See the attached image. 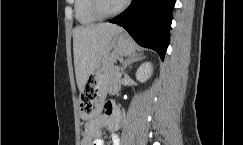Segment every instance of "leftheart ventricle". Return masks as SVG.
Segmentation results:
<instances>
[{
	"instance_id": "obj_1",
	"label": "left heart ventricle",
	"mask_w": 243,
	"mask_h": 145,
	"mask_svg": "<svg viewBox=\"0 0 243 145\" xmlns=\"http://www.w3.org/2000/svg\"><path fill=\"white\" fill-rule=\"evenodd\" d=\"M124 0H102L103 7L106 11H113L121 6Z\"/></svg>"
}]
</instances>
